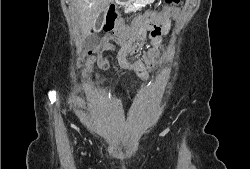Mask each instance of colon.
<instances>
[{"instance_id": "colon-1", "label": "colon", "mask_w": 250, "mask_h": 169, "mask_svg": "<svg viewBox=\"0 0 250 169\" xmlns=\"http://www.w3.org/2000/svg\"><path fill=\"white\" fill-rule=\"evenodd\" d=\"M162 3L177 4V0H162ZM101 29L106 33H118L125 29L124 23L119 18L118 11L115 8L110 9L105 17V21ZM150 32V40L156 43V48L159 51H164L167 48V43L161 40L162 28L156 24L148 23L140 28L138 33L134 36V41L131 43V50L133 52H140L142 50V43L145 39L146 32Z\"/></svg>"}]
</instances>
